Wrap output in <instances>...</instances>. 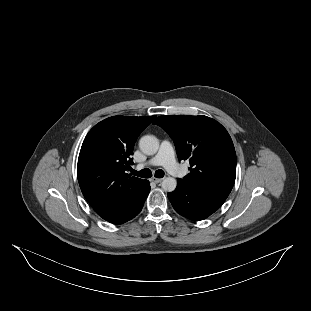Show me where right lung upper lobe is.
Wrapping results in <instances>:
<instances>
[{
  "mask_svg": "<svg viewBox=\"0 0 311 311\" xmlns=\"http://www.w3.org/2000/svg\"><path fill=\"white\" fill-rule=\"evenodd\" d=\"M155 117L113 116L96 124L83 141L78 182L88 203L105 220L123 211L147 181L125 171L133 164L136 139Z\"/></svg>",
  "mask_w": 311,
  "mask_h": 311,
  "instance_id": "right-lung-upper-lobe-1",
  "label": "right lung upper lobe"
}]
</instances>
